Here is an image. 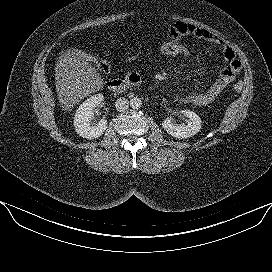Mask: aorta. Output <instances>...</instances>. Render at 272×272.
<instances>
[{
	"mask_svg": "<svg viewBox=\"0 0 272 272\" xmlns=\"http://www.w3.org/2000/svg\"><path fill=\"white\" fill-rule=\"evenodd\" d=\"M142 106V100L138 97H134L130 99V107L133 110H138Z\"/></svg>",
	"mask_w": 272,
	"mask_h": 272,
	"instance_id": "762f6f07",
	"label": "aorta"
}]
</instances>
